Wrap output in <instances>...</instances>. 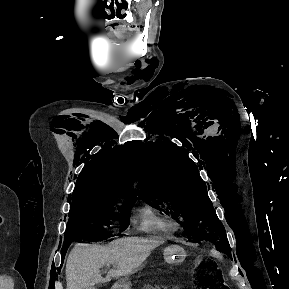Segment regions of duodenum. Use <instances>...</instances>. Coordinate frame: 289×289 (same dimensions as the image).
I'll return each mask as SVG.
<instances>
[{
	"instance_id": "1",
	"label": "duodenum",
	"mask_w": 289,
	"mask_h": 289,
	"mask_svg": "<svg viewBox=\"0 0 289 289\" xmlns=\"http://www.w3.org/2000/svg\"><path fill=\"white\" fill-rule=\"evenodd\" d=\"M113 289H121L120 286H115Z\"/></svg>"
}]
</instances>
